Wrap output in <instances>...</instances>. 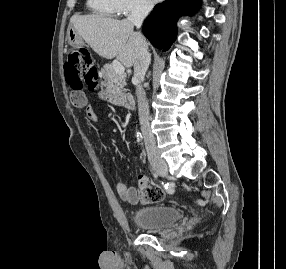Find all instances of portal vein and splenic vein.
<instances>
[{"mask_svg":"<svg viewBox=\"0 0 286 269\" xmlns=\"http://www.w3.org/2000/svg\"><path fill=\"white\" fill-rule=\"evenodd\" d=\"M112 65H113V69H114L115 72H117V73H124L125 68H124V66L122 65V63L120 61L114 60Z\"/></svg>","mask_w":286,"mask_h":269,"instance_id":"1","label":"portal vein and splenic vein"}]
</instances>
